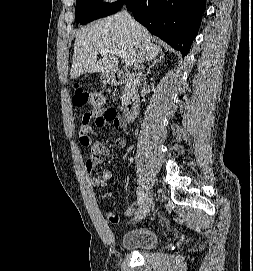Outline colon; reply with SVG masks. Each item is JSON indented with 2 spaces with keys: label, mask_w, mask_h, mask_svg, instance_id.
Returning <instances> with one entry per match:
<instances>
[{
  "label": "colon",
  "mask_w": 253,
  "mask_h": 271,
  "mask_svg": "<svg viewBox=\"0 0 253 271\" xmlns=\"http://www.w3.org/2000/svg\"><path fill=\"white\" fill-rule=\"evenodd\" d=\"M73 103L76 106H90L92 114H103L104 118L110 122L118 120L116 111L104 109V97L99 92H89L77 89L73 95Z\"/></svg>",
  "instance_id": "obj_1"
}]
</instances>
